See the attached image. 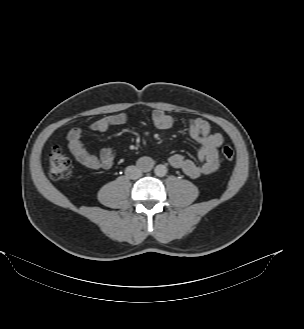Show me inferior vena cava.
<instances>
[{"label": "inferior vena cava", "instance_id": "1", "mask_svg": "<svg viewBox=\"0 0 304 329\" xmlns=\"http://www.w3.org/2000/svg\"><path fill=\"white\" fill-rule=\"evenodd\" d=\"M125 174L128 178L135 180L142 176V171L136 166H128Z\"/></svg>", "mask_w": 304, "mask_h": 329}]
</instances>
